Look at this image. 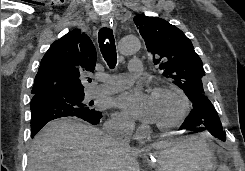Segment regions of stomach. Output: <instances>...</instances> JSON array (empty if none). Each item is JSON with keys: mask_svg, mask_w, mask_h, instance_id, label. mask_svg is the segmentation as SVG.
<instances>
[{"mask_svg": "<svg viewBox=\"0 0 245 171\" xmlns=\"http://www.w3.org/2000/svg\"><path fill=\"white\" fill-rule=\"evenodd\" d=\"M217 146L205 135H193L152 154L150 163L156 171H214Z\"/></svg>", "mask_w": 245, "mask_h": 171, "instance_id": "1", "label": "stomach"}]
</instances>
